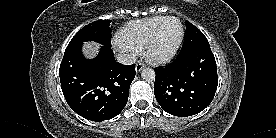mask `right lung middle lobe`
<instances>
[{"mask_svg": "<svg viewBox=\"0 0 276 138\" xmlns=\"http://www.w3.org/2000/svg\"><path fill=\"white\" fill-rule=\"evenodd\" d=\"M110 22L111 20H98L86 25L76 33L66 49L80 46L86 41H96L102 45L111 47Z\"/></svg>", "mask_w": 276, "mask_h": 138, "instance_id": "1", "label": "right lung middle lobe"}]
</instances>
